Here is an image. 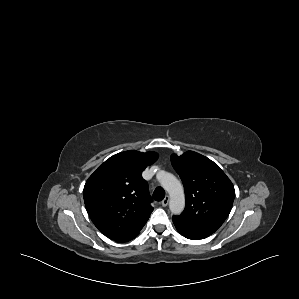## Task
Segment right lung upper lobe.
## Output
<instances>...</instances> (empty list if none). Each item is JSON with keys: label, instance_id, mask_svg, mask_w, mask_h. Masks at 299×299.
Instances as JSON below:
<instances>
[{"label": "right lung upper lobe", "instance_id": "cb5924a9", "mask_svg": "<svg viewBox=\"0 0 299 299\" xmlns=\"http://www.w3.org/2000/svg\"><path fill=\"white\" fill-rule=\"evenodd\" d=\"M158 158L155 152L124 151L107 159L87 180L84 202L95 226L120 241L138 235L153 208L143 170Z\"/></svg>", "mask_w": 299, "mask_h": 299}]
</instances>
